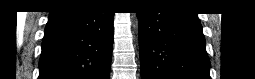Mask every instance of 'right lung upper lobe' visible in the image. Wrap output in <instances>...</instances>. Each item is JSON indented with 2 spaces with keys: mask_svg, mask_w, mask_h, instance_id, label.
Returning <instances> with one entry per match:
<instances>
[{
  "mask_svg": "<svg viewBox=\"0 0 255 79\" xmlns=\"http://www.w3.org/2000/svg\"><path fill=\"white\" fill-rule=\"evenodd\" d=\"M82 2H85V1H82V0H61V1L57 2L58 3L57 7L79 4Z\"/></svg>",
  "mask_w": 255,
  "mask_h": 79,
  "instance_id": "cb5924a9",
  "label": "right lung upper lobe"
}]
</instances>
